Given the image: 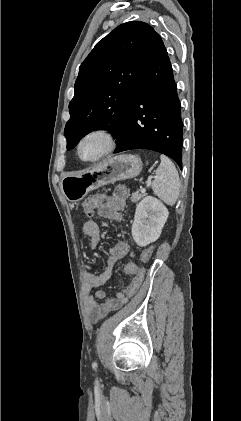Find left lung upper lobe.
I'll return each instance as SVG.
<instances>
[{"instance_id":"1","label":"left lung upper lobe","mask_w":241,"mask_h":421,"mask_svg":"<svg viewBox=\"0 0 241 421\" xmlns=\"http://www.w3.org/2000/svg\"><path fill=\"white\" fill-rule=\"evenodd\" d=\"M159 35L140 21L123 23L96 44L79 68L70 119L65 126L67 149L95 129H108L116 141L125 132L135 90Z\"/></svg>"}]
</instances>
